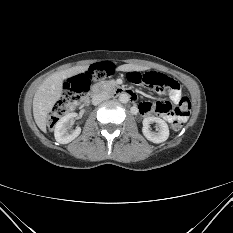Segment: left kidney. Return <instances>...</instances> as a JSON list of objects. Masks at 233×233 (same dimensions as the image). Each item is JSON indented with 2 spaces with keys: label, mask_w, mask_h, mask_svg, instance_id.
Here are the masks:
<instances>
[{
  "label": "left kidney",
  "mask_w": 233,
  "mask_h": 233,
  "mask_svg": "<svg viewBox=\"0 0 233 233\" xmlns=\"http://www.w3.org/2000/svg\"><path fill=\"white\" fill-rule=\"evenodd\" d=\"M157 123L158 132L150 131V124ZM143 135L147 138V140L153 143H162L166 141L169 137V128L167 123L158 117H146L143 119Z\"/></svg>",
  "instance_id": "left-kidney-1"
}]
</instances>
